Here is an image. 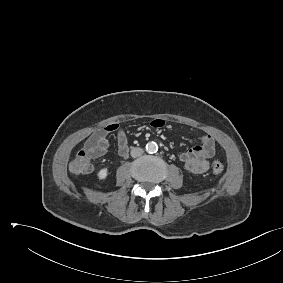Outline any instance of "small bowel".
I'll return each instance as SVG.
<instances>
[{
	"label": "small bowel",
	"instance_id": "1",
	"mask_svg": "<svg viewBox=\"0 0 283 283\" xmlns=\"http://www.w3.org/2000/svg\"><path fill=\"white\" fill-rule=\"evenodd\" d=\"M151 125L155 128H161L164 125L162 119H154ZM115 132L117 135V153L120 157H127L129 153L128 139L123 127L118 123H110L96 130L86 141L85 150L93 158L104 156L110 150L108 135ZM215 154L214 139L207 135L201 139L199 145H196L186 152L179 155L180 162L184 167L195 174L206 172L211 159Z\"/></svg>",
	"mask_w": 283,
	"mask_h": 283
}]
</instances>
